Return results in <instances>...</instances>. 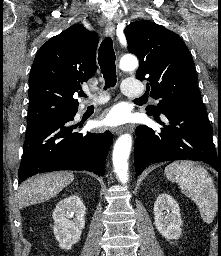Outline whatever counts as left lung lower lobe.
<instances>
[{
    "label": "left lung lower lobe",
    "mask_w": 221,
    "mask_h": 256,
    "mask_svg": "<svg viewBox=\"0 0 221 256\" xmlns=\"http://www.w3.org/2000/svg\"><path fill=\"white\" fill-rule=\"evenodd\" d=\"M161 114L168 126L163 124L158 131L145 125L136 129V174L140 175L149 164L181 159L204 161L221 174V153L214 146L206 109L170 108ZM159 115L153 117L162 124Z\"/></svg>",
    "instance_id": "0a47b994"
}]
</instances>
